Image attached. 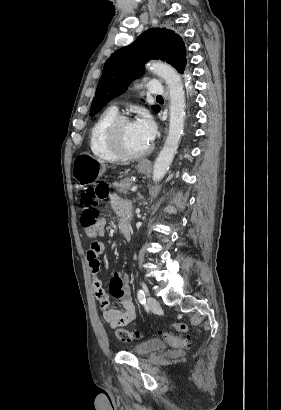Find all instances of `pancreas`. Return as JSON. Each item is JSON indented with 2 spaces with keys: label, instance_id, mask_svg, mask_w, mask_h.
I'll use <instances>...</instances> for the list:
<instances>
[{
  "label": "pancreas",
  "instance_id": "cf45deb5",
  "mask_svg": "<svg viewBox=\"0 0 281 410\" xmlns=\"http://www.w3.org/2000/svg\"><path fill=\"white\" fill-rule=\"evenodd\" d=\"M113 186L116 188V190L119 193L128 194L129 189L132 186V181L129 178H125V179L121 180L119 183L115 182L113 184Z\"/></svg>",
  "mask_w": 281,
  "mask_h": 410
}]
</instances>
